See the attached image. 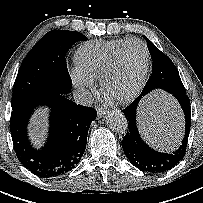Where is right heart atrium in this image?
<instances>
[{"mask_svg":"<svg viewBox=\"0 0 203 203\" xmlns=\"http://www.w3.org/2000/svg\"><path fill=\"white\" fill-rule=\"evenodd\" d=\"M70 76L73 84L83 93L94 91V83L91 78L85 75L77 66L70 71Z\"/></svg>","mask_w":203,"mask_h":203,"instance_id":"d8ad5b80","label":"right heart atrium"}]
</instances>
